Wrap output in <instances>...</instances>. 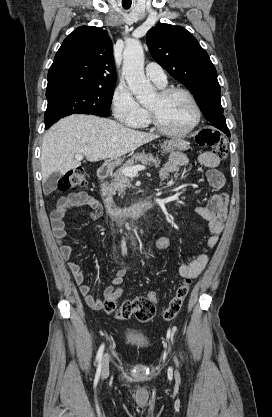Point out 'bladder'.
Segmentation results:
<instances>
[{"mask_svg": "<svg viewBox=\"0 0 272 417\" xmlns=\"http://www.w3.org/2000/svg\"><path fill=\"white\" fill-rule=\"evenodd\" d=\"M125 341L134 347L145 348L149 346L150 341L145 333L135 329H128L125 332Z\"/></svg>", "mask_w": 272, "mask_h": 417, "instance_id": "obj_1", "label": "bladder"}]
</instances>
